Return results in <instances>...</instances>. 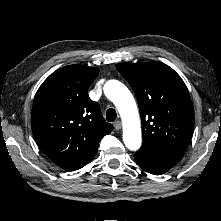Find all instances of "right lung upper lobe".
I'll use <instances>...</instances> for the list:
<instances>
[{"label":"right lung upper lobe","instance_id":"right-lung-upper-lobe-1","mask_svg":"<svg viewBox=\"0 0 221 221\" xmlns=\"http://www.w3.org/2000/svg\"><path fill=\"white\" fill-rule=\"evenodd\" d=\"M98 73L95 67H63L42 83L34 98L33 136L48 158L67 171L87 164L113 130L87 93Z\"/></svg>","mask_w":221,"mask_h":221}]
</instances>
